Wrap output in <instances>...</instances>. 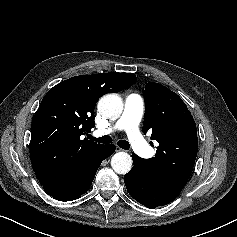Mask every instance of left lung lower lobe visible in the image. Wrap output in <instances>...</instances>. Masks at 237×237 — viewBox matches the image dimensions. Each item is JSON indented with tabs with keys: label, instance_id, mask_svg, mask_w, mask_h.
<instances>
[{
	"label": "left lung lower lobe",
	"instance_id": "0a47b994",
	"mask_svg": "<svg viewBox=\"0 0 237 237\" xmlns=\"http://www.w3.org/2000/svg\"><path fill=\"white\" fill-rule=\"evenodd\" d=\"M134 166L124 176L128 193L140 204L154 209L172 202L187 181L163 179L150 173L143 158L132 154Z\"/></svg>",
	"mask_w": 237,
	"mask_h": 237
}]
</instances>
